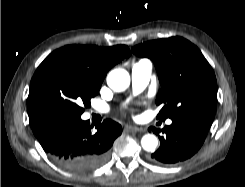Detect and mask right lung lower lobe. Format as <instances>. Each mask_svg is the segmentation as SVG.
<instances>
[{"mask_svg":"<svg viewBox=\"0 0 245 187\" xmlns=\"http://www.w3.org/2000/svg\"><path fill=\"white\" fill-rule=\"evenodd\" d=\"M31 128L48 156L72 172L100 167L114 140L122 133L121 126L112 120H105L92 131L90 122L80 116H56Z\"/></svg>","mask_w":245,"mask_h":187,"instance_id":"98d812e1","label":"right lung lower lobe"}]
</instances>
